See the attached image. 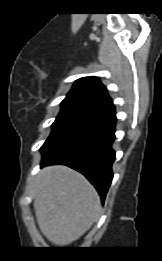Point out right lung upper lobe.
Returning <instances> with one entry per match:
<instances>
[{
	"instance_id": "cb5924a9",
	"label": "right lung upper lobe",
	"mask_w": 162,
	"mask_h": 261,
	"mask_svg": "<svg viewBox=\"0 0 162 261\" xmlns=\"http://www.w3.org/2000/svg\"><path fill=\"white\" fill-rule=\"evenodd\" d=\"M69 94L85 96L99 101L103 107L112 104V100L108 96L105 86L102 85L96 77L78 79Z\"/></svg>"
}]
</instances>
